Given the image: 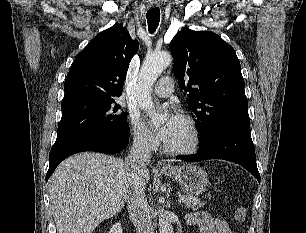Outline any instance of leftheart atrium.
I'll return each mask as SVG.
<instances>
[{
	"label": "left heart atrium",
	"mask_w": 306,
	"mask_h": 233,
	"mask_svg": "<svg viewBox=\"0 0 306 233\" xmlns=\"http://www.w3.org/2000/svg\"><path fill=\"white\" fill-rule=\"evenodd\" d=\"M180 120L181 117L179 114L174 111H170L167 119L156 130L158 137L162 141L166 142L177 128Z\"/></svg>",
	"instance_id": "obj_1"
}]
</instances>
